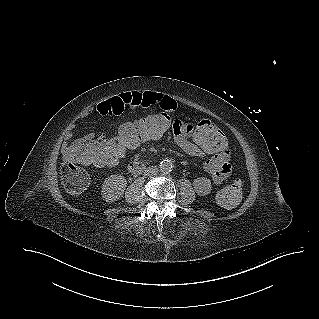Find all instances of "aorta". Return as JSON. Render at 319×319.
I'll return each instance as SVG.
<instances>
[{"instance_id":"762f6f07","label":"aorta","mask_w":319,"mask_h":319,"mask_svg":"<svg viewBox=\"0 0 319 319\" xmlns=\"http://www.w3.org/2000/svg\"><path fill=\"white\" fill-rule=\"evenodd\" d=\"M159 167H160V170H161L162 172L168 173V172L172 171V169H173V163H172V161H170V160L164 159V160H162V161L160 162Z\"/></svg>"}]
</instances>
